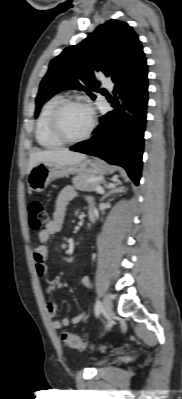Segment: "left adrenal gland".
I'll use <instances>...</instances> for the list:
<instances>
[{"label": "left adrenal gland", "instance_id": "a2214340", "mask_svg": "<svg viewBox=\"0 0 182 399\" xmlns=\"http://www.w3.org/2000/svg\"><path fill=\"white\" fill-rule=\"evenodd\" d=\"M119 184H120V182H117V183H115V184H111V185L109 186V189H110V190L108 191V193H106V194L102 197L101 201H103L107 196H109V195L112 194V193L123 191L124 187H117V185H119Z\"/></svg>", "mask_w": 182, "mask_h": 399}]
</instances>
